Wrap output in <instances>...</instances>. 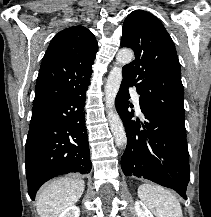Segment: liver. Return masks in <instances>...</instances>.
Wrapping results in <instances>:
<instances>
[{
  "label": "liver",
  "instance_id": "obj_1",
  "mask_svg": "<svg viewBox=\"0 0 211 217\" xmlns=\"http://www.w3.org/2000/svg\"><path fill=\"white\" fill-rule=\"evenodd\" d=\"M85 188L82 179L75 176L52 181L39 193L36 209L39 217H58L81 198Z\"/></svg>",
  "mask_w": 211,
  "mask_h": 217
}]
</instances>
